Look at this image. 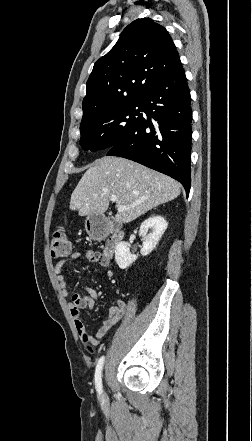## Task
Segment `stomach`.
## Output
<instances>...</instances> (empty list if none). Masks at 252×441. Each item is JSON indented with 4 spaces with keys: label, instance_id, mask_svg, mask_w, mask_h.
<instances>
[{
    "label": "stomach",
    "instance_id": "0dacf381",
    "mask_svg": "<svg viewBox=\"0 0 252 441\" xmlns=\"http://www.w3.org/2000/svg\"><path fill=\"white\" fill-rule=\"evenodd\" d=\"M91 227H92V216H88L85 221V228L89 234L91 233Z\"/></svg>",
    "mask_w": 252,
    "mask_h": 441
}]
</instances>
